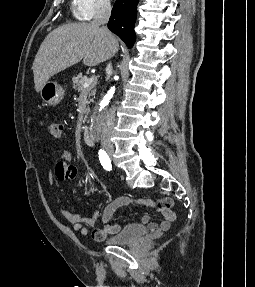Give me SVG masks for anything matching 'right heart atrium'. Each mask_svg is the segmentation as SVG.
<instances>
[{"mask_svg":"<svg viewBox=\"0 0 255 287\" xmlns=\"http://www.w3.org/2000/svg\"><path fill=\"white\" fill-rule=\"evenodd\" d=\"M60 48H77V47H60Z\"/></svg>","mask_w":255,"mask_h":287,"instance_id":"right-heart-atrium-1","label":"right heart atrium"}]
</instances>
